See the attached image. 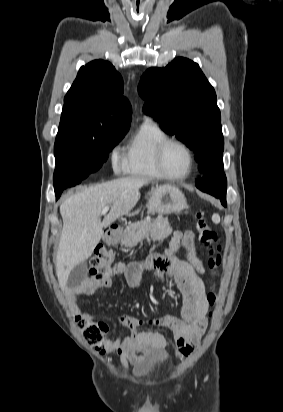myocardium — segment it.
I'll return each mask as SVG.
<instances>
[{
    "label": "myocardium",
    "instance_id": "myocardium-1",
    "mask_svg": "<svg viewBox=\"0 0 283 412\" xmlns=\"http://www.w3.org/2000/svg\"><path fill=\"white\" fill-rule=\"evenodd\" d=\"M171 145H179L181 146L183 149H185V151L188 154L189 157V168L188 170L182 174V175H173L171 173H169L164 166V156H165V152L168 149L169 146ZM155 162H156V166L157 169L160 173V175L164 178L167 179H171V180H182L187 178L193 171L194 169V165H195V156H194V152L191 149V147L184 141L177 139V138H167L164 141H162L160 143V145L157 148L156 151V156H155Z\"/></svg>",
    "mask_w": 283,
    "mask_h": 412
}]
</instances>
